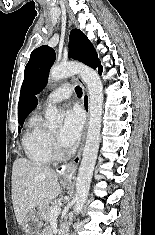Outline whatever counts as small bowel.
<instances>
[{
    "instance_id": "c3829d8e",
    "label": "small bowel",
    "mask_w": 155,
    "mask_h": 235,
    "mask_svg": "<svg viewBox=\"0 0 155 235\" xmlns=\"http://www.w3.org/2000/svg\"><path fill=\"white\" fill-rule=\"evenodd\" d=\"M40 235H49V233L43 232Z\"/></svg>"
}]
</instances>
